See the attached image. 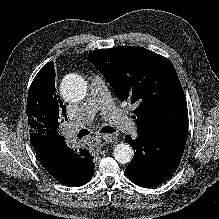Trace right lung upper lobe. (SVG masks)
Instances as JSON below:
<instances>
[{"mask_svg":"<svg viewBox=\"0 0 219 219\" xmlns=\"http://www.w3.org/2000/svg\"><path fill=\"white\" fill-rule=\"evenodd\" d=\"M32 85L39 86L37 97L45 98L47 99L48 102L51 100L56 101V102L58 101L61 107V118L63 120H67L66 106L63 105L62 101L60 100L58 94H56V90H55V70H54L53 62H49L38 72V74L36 75V77L34 78L32 82ZM29 132L31 133L30 135L31 144H34L39 138L49 136L42 132H37L33 130Z\"/></svg>","mask_w":219,"mask_h":219,"instance_id":"1","label":"right lung upper lobe"}]
</instances>
